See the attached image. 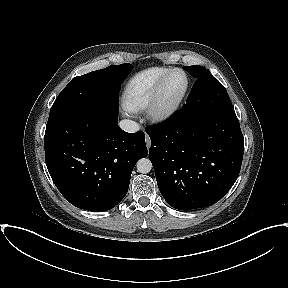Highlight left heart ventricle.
Wrapping results in <instances>:
<instances>
[{"instance_id":"left-heart-ventricle-1","label":"left heart ventricle","mask_w":288,"mask_h":288,"mask_svg":"<svg viewBox=\"0 0 288 288\" xmlns=\"http://www.w3.org/2000/svg\"><path fill=\"white\" fill-rule=\"evenodd\" d=\"M185 85V78L182 73H172L166 81L162 93V103L167 106L173 103L181 94Z\"/></svg>"}]
</instances>
